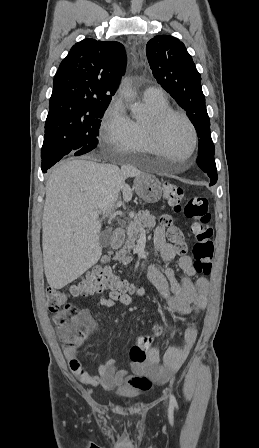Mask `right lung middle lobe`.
Returning <instances> with one entry per match:
<instances>
[{
	"label": "right lung middle lobe",
	"instance_id": "right-lung-middle-lobe-1",
	"mask_svg": "<svg viewBox=\"0 0 259 448\" xmlns=\"http://www.w3.org/2000/svg\"><path fill=\"white\" fill-rule=\"evenodd\" d=\"M107 106L78 113H49L45 123L41 158L79 156L97 144L101 118Z\"/></svg>",
	"mask_w": 259,
	"mask_h": 448
}]
</instances>
